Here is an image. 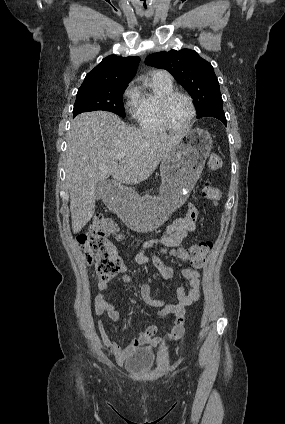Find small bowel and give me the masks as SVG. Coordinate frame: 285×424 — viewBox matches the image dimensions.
I'll return each mask as SVG.
<instances>
[{"label": "small bowel", "mask_w": 285, "mask_h": 424, "mask_svg": "<svg viewBox=\"0 0 285 424\" xmlns=\"http://www.w3.org/2000/svg\"><path fill=\"white\" fill-rule=\"evenodd\" d=\"M198 216L197 208L194 205H190L186 216L175 218L162 236L145 241L135 253L134 258L139 265H152L163 280H171L178 275L184 282L174 286L173 295L176 301L173 303H165L161 300L153 299L151 297V288L148 284H142L138 287L140 299L151 307L160 308L158 312L160 317L169 315L175 317L173 328L164 336H157L158 329L152 325L146 328L137 338H134L128 346L122 347L109 336L104 323L99 322L98 329L101 339L106 348L114 354L119 364H124L128 355L140 346L145 345L155 348L163 342L177 340L183 335L185 327L184 310L185 307L191 305L200 297L201 273L196 269L190 268H185L178 272L173 270L161 261L156 248L157 246L166 248L179 246L184 238L197 230ZM149 249H153L150 257L146 254ZM121 281L126 284L134 283L133 279L126 273L125 265L122 267ZM107 289L108 280L99 278L94 311L96 315L106 316L114 322H119L121 315L115 305L107 298ZM180 316L183 317V322L178 327L177 320Z\"/></svg>", "instance_id": "1"}]
</instances>
